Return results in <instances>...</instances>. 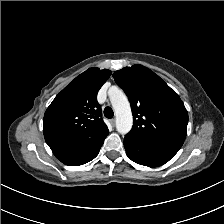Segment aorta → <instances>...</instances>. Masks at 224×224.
Returning a JSON list of instances; mask_svg holds the SVG:
<instances>
[{
	"mask_svg": "<svg viewBox=\"0 0 224 224\" xmlns=\"http://www.w3.org/2000/svg\"><path fill=\"white\" fill-rule=\"evenodd\" d=\"M109 97L116 116V129L122 135L127 134L133 125V117L128 98L117 87L109 89Z\"/></svg>",
	"mask_w": 224,
	"mask_h": 224,
	"instance_id": "obj_1",
	"label": "aorta"
}]
</instances>
